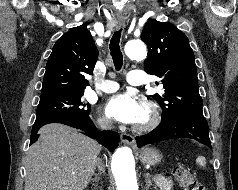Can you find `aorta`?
<instances>
[{
	"label": "aorta",
	"mask_w": 238,
	"mask_h": 190,
	"mask_svg": "<svg viewBox=\"0 0 238 190\" xmlns=\"http://www.w3.org/2000/svg\"><path fill=\"white\" fill-rule=\"evenodd\" d=\"M125 52L129 58L134 60H142L147 55L146 46L141 40L127 42ZM111 168L117 190H138L135 162L130 148L121 147L115 151Z\"/></svg>",
	"instance_id": "1"
}]
</instances>
